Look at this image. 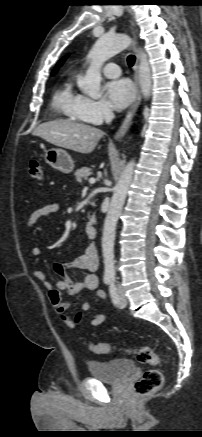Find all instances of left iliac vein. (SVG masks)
Returning a JSON list of instances; mask_svg holds the SVG:
<instances>
[{"instance_id": "4c4485c4", "label": "left iliac vein", "mask_w": 202, "mask_h": 437, "mask_svg": "<svg viewBox=\"0 0 202 437\" xmlns=\"http://www.w3.org/2000/svg\"><path fill=\"white\" fill-rule=\"evenodd\" d=\"M117 304L120 308H124L127 304V298L124 294V291L121 288L118 290V303Z\"/></svg>"}]
</instances>
